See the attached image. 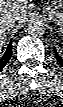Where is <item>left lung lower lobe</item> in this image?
<instances>
[{"label":"left lung lower lobe","mask_w":63,"mask_h":107,"mask_svg":"<svg viewBox=\"0 0 63 107\" xmlns=\"http://www.w3.org/2000/svg\"><path fill=\"white\" fill-rule=\"evenodd\" d=\"M55 57L59 62V64L63 67V57H60L56 51H55Z\"/></svg>","instance_id":"left-lung-lower-lobe-1"}]
</instances>
